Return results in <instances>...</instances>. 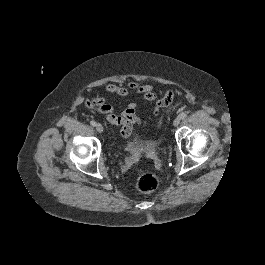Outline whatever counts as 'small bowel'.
Here are the masks:
<instances>
[{
  "label": "small bowel",
  "mask_w": 265,
  "mask_h": 265,
  "mask_svg": "<svg viewBox=\"0 0 265 265\" xmlns=\"http://www.w3.org/2000/svg\"><path fill=\"white\" fill-rule=\"evenodd\" d=\"M105 91L116 96H128L132 93L139 94L143 99L154 102L155 109L153 118L158 116L160 109L167 106L164 96L157 99L156 93L152 85L142 84L136 81H130L126 86L119 84H107L104 87ZM86 105L94 111L106 115V120L113 125L122 128L127 127L130 132L134 125L146 124L137 115V106L135 103H130L122 112L117 113L113 106L108 103L105 98H92L86 101Z\"/></svg>",
  "instance_id": "obj_1"
}]
</instances>
